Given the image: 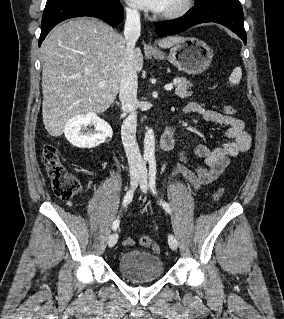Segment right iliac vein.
Wrapping results in <instances>:
<instances>
[{"instance_id": "63e3f726", "label": "right iliac vein", "mask_w": 284, "mask_h": 319, "mask_svg": "<svg viewBox=\"0 0 284 319\" xmlns=\"http://www.w3.org/2000/svg\"><path fill=\"white\" fill-rule=\"evenodd\" d=\"M139 176H140V174L136 170L131 173V186L133 188H135L137 186V183H138V180H139ZM117 241H118V234L117 233L111 234L109 236V238H108V246L109 247L115 246Z\"/></svg>"}]
</instances>
